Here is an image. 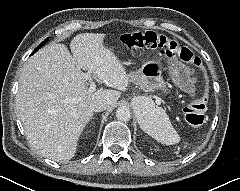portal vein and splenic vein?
Here are the masks:
<instances>
[{
	"label": "portal vein and splenic vein",
	"mask_w": 240,
	"mask_h": 191,
	"mask_svg": "<svg viewBox=\"0 0 240 191\" xmlns=\"http://www.w3.org/2000/svg\"><path fill=\"white\" fill-rule=\"evenodd\" d=\"M84 79L90 81V87L88 89V92H90V93L94 92L96 89V84H95V82L92 81L91 76L89 74H84ZM75 101H76V99H66L65 103H73Z\"/></svg>",
	"instance_id": "1"
}]
</instances>
